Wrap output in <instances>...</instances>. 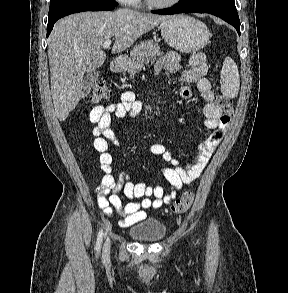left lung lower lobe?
<instances>
[{"instance_id": "left-lung-lower-lobe-1", "label": "left lung lower lobe", "mask_w": 288, "mask_h": 293, "mask_svg": "<svg viewBox=\"0 0 288 293\" xmlns=\"http://www.w3.org/2000/svg\"><path fill=\"white\" fill-rule=\"evenodd\" d=\"M209 13L220 17L227 23L234 26L240 35V20L238 17L237 10L229 9L221 5L217 4H193L188 2H179L178 4L174 5L173 7L152 11L155 14H162V15H170V14H178V13Z\"/></svg>"}]
</instances>
